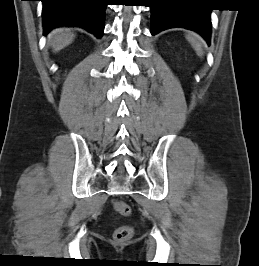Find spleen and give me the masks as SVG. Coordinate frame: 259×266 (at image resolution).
<instances>
[{"mask_svg":"<svg viewBox=\"0 0 259 266\" xmlns=\"http://www.w3.org/2000/svg\"><path fill=\"white\" fill-rule=\"evenodd\" d=\"M186 39L191 43L196 53L201 57L203 56V40L195 33H188Z\"/></svg>","mask_w":259,"mask_h":266,"instance_id":"spleen-1","label":"spleen"}]
</instances>
